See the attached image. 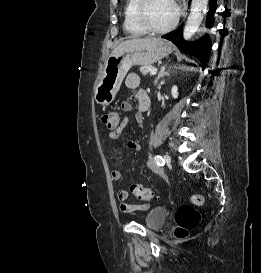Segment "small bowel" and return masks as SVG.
Returning a JSON list of instances; mask_svg holds the SVG:
<instances>
[{
	"label": "small bowel",
	"mask_w": 261,
	"mask_h": 273,
	"mask_svg": "<svg viewBox=\"0 0 261 273\" xmlns=\"http://www.w3.org/2000/svg\"><path fill=\"white\" fill-rule=\"evenodd\" d=\"M125 84L128 88L131 89H137L136 94H135V99L138 103L139 106V111L136 113L135 115V120L137 123V126L139 129L142 128L143 126V121H144V116L142 113L143 110V104L146 100V98H148L147 94L145 93V91L138 89L139 88V84H140V79L137 75L135 74H128L125 80ZM121 109L124 112H129L132 109V106L129 102L125 101L121 104ZM128 124V118L124 117L120 124L118 125V127L112 131L109 132L108 134V140L109 141H116L119 139L123 129L127 126ZM128 148H130L133 151H139L141 149V143L139 138H133L130 139L127 143ZM150 168L152 171L156 172V173H160L159 169L156 167L155 164H150ZM122 177V173L119 170H113L111 172V178L114 181H119ZM117 197L120 201V210L123 213H131L137 210L140 211H145L148 208L147 204H142V205H133V204H129L127 202L128 199V192L124 189H120L117 191Z\"/></svg>",
	"instance_id": "small-bowel-1"
}]
</instances>
